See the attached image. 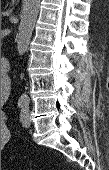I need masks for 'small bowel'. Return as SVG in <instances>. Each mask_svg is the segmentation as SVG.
<instances>
[{
  "instance_id": "c3829d8e",
  "label": "small bowel",
  "mask_w": 109,
  "mask_h": 170,
  "mask_svg": "<svg viewBox=\"0 0 109 170\" xmlns=\"http://www.w3.org/2000/svg\"><path fill=\"white\" fill-rule=\"evenodd\" d=\"M8 90L4 91L1 100L4 102L7 99ZM10 138V133L7 124V117L4 113L1 114V147H4Z\"/></svg>"
}]
</instances>
